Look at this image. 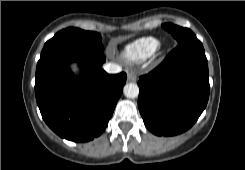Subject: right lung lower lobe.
I'll use <instances>...</instances> for the list:
<instances>
[{"label":"right lung lower lobe","mask_w":245,"mask_h":170,"mask_svg":"<svg viewBox=\"0 0 245 170\" xmlns=\"http://www.w3.org/2000/svg\"><path fill=\"white\" fill-rule=\"evenodd\" d=\"M74 61L82 68L81 77H75L69 68ZM103 62L100 51L70 49L37 66V104L44 121L60 137L87 142L108 125L127 75L107 74Z\"/></svg>","instance_id":"right-lung-lower-lobe-1"}]
</instances>
